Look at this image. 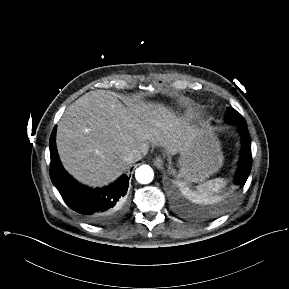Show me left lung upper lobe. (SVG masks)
Segmentation results:
<instances>
[{
    "label": "left lung upper lobe",
    "mask_w": 289,
    "mask_h": 289,
    "mask_svg": "<svg viewBox=\"0 0 289 289\" xmlns=\"http://www.w3.org/2000/svg\"><path fill=\"white\" fill-rule=\"evenodd\" d=\"M226 121L236 124H246L244 118L235 109H228Z\"/></svg>",
    "instance_id": "5c2ea615"
}]
</instances>
